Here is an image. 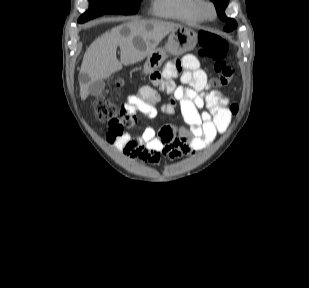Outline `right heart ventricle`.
<instances>
[{
	"instance_id": "e07e8e85",
	"label": "right heart ventricle",
	"mask_w": 309,
	"mask_h": 288,
	"mask_svg": "<svg viewBox=\"0 0 309 288\" xmlns=\"http://www.w3.org/2000/svg\"><path fill=\"white\" fill-rule=\"evenodd\" d=\"M198 3V0H152L151 10L158 17L200 23L203 19L198 12Z\"/></svg>"
}]
</instances>
